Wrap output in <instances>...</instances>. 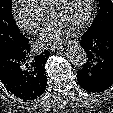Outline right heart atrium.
Listing matches in <instances>:
<instances>
[{
	"instance_id": "right-heart-atrium-1",
	"label": "right heart atrium",
	"mask_w": 113,
	"mask_h": 113,
	"mask_svg": "<svg viewBox=\"0 0 113 113\" xmlns=\"http://www.w3.org/2000/svg\"><path fill=\"white\" fill-rule=\"evenodd\" d=\"M11 12L19 28L29 35H36L45 23V15L25 0H14Z\"/></svg>"
}]
</instances>
